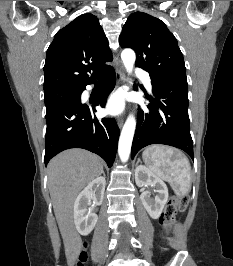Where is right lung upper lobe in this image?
Returning <instances> with one entry per match:
<instances>
[{"label": "right lung upper lobe", "instance_id": "1", "mask_svg": "<svg viewBox=\"0 0 233 266\" xmlns=\"http://www.w3.org/2000/svg\"><path fill=\"white\" fill-rule=\"evenodd\" d=\"M108 40L93 14H82L55 35L44 65V93L81 89L109 66Z\"/></svg>", "mask_w": 233, "mask_h": 266}]
</instances>
